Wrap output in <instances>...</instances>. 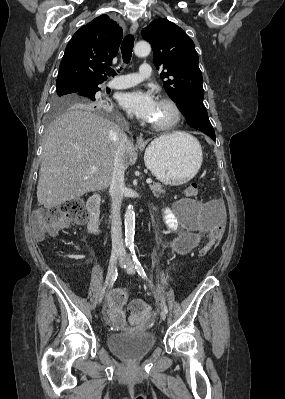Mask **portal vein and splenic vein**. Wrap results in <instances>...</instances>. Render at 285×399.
Returning <instances> with one entry per match:
<instances>
[{
  "mask_svg": "<svg viewBox=\"0 0 285 399\" xmlns=\"http://www.w3.org/2000/svg\"><path fill=\"white\" fill-rule=\"evenodd\" d=\"M91 170H92V171H96L97 168H96L95 166H92V167H91ZM146 183H147V184H151V183H152V179L148 178V179L146 180Z\"/></svg>",
  "mask_w": 285,
  "mask_h": 399,
  "instance_id": "1",
  "label": "portal vein and splenic vein"
}]
</instances>
